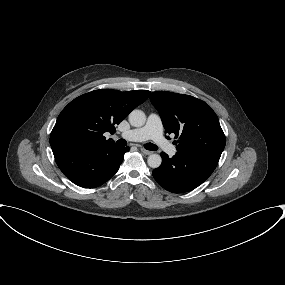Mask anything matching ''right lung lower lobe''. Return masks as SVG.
Wrapping results in <instances>:
<instances>
[{
    "label": "right lung lower lobe",
    "instance_id": "obj_1",
    "mask_svg": "<svg viewBox=\"0 0 285 285\" xmlns=\"http://www.w3.org/2000/svg\"><path fill=\"white\" fill-rule=\"evenodd\" d=\"M52 151L58 167L69 180L80 187L95 188L118 171L129 148L63 145L52 148Z\"/></svg>",
    "mask_w": 285,
    "mask_h": 285
}]
</instances>
